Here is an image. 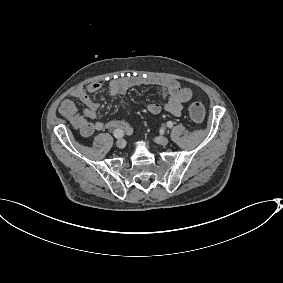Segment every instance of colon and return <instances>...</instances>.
Segmentation results:
<instances>
[{
    "instance_id": "5ec220e1",
    "label": "colon",
    "mask_w": 283,
    "mask_h": 283,
    "mask_svg": "<svg viewBox=\"0 0 283 283\" xmlns=\"http://www.w3.org/2000/svg\"><path fill=\"white\" fill-rule=\"evenodd\" d=\"M189 115L195 122H200L205 117V108L199 102H193L189 107Z\"/></svg>"
}]
</instances>
